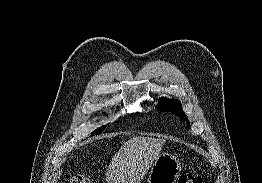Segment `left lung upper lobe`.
<instances>
[{"label":"left lung upper lobe","mask_w":262,"mask_h":183,"mask_svg":"<svg viewBox=\"0 0 262 183\" xmlns=\"http://www.w3.org/2000/svg\"><path fill=\"white\" fill-rule=\"evenodd\" d=\"M157 109L160 110V111H170L172 113H175L182 120L187 121V124L189 125V121L186 118V115L182 110L181 102L179 100L160 98Z\"/></svg>","instance_id":"obj_1"}]
</instances>
